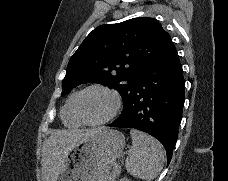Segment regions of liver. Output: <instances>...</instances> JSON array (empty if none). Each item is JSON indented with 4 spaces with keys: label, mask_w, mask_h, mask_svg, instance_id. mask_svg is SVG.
I'll use <instances>...</instances> for the list:
<instances>
[{
    "label": "liver",
    "mask_w": 228,
    "mask_h": 181,
    "mask_svg": "<svg viewBox=\"0 0 228 181\" xmlns=\"http://www.w3.org/2000/svg\"><path fill=\"white\" fill-rule=\"evenodd\" d=\"M96 131H101V129H90L86 133L80 129L53 131L51 137L44 141L42 149L41 169L44 181H58L71 149Z\"/></svg>",
    "instance_id": "1"
}]
</instances>
